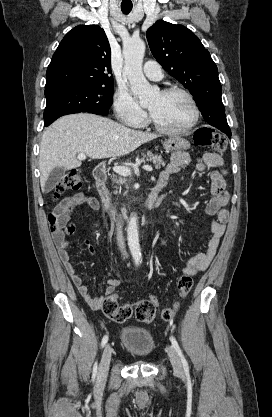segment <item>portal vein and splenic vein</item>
Masks as SVG:
<instances>
[{
    "instance_id": "18ae733b",
    "label": "portal vein and splenic vein",
    "mask_w": 272,
    "mask_h": 417,
    "mask_svg": "<svg viewBox=\"0 0 272 417\" xmlns=\"http://www.w3.org/2000/svg\"><path fill=\"white\" fill-rule=\"evenodd\" d=\"M77 158L79 160H84L86 158V155L83 153L78 154ZM143 169L146 171H152V167L148 165H144ZM113 171L121 176H129L131 174V170L128 167L124 166H115L113 167Z\"/></svg>"
}]
</instances>
